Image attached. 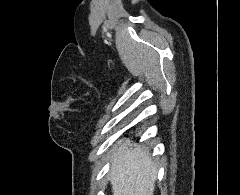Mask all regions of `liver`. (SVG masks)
Masks as SVG:
<instances>
[{"label": "liver", "instance_id": "liver-1", "mask_svg": "<svg viewBox=\"0 0 240 195\" xmlns=\"http://www.w3.org/2000/svg\"><path fill=\"white\" fill-rule=\"evenodd\" d=\"M109 179L113 195H153L157 165L140 145L123 143L113 149Z\"/></svg>", "mask_w": 240, "mask_h": 195}]
</instances>
